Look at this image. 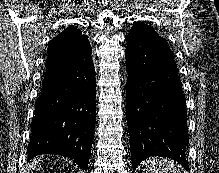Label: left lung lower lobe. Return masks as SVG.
<instances>
[{"label":"left lung lower lobe","mask_w":219,"mask_h":173,"mask_svg":"<svg viewBox=\"0 0 219 173\" xmlns=\"http://www.w3.org/2000/svg\"><path fill=\"white\" fill-rule=\"evenodd\" d=\"M126 116L135 170L150 156L171 158L188 169L185 96L166 39L127 36Z\"/></svg>","instance_id":"obj_1"}]
</instances>
